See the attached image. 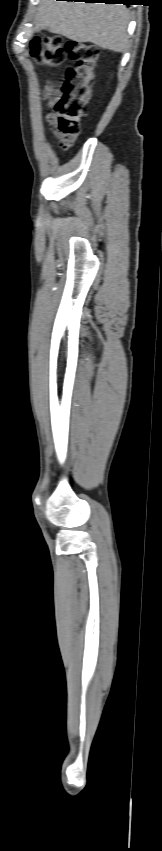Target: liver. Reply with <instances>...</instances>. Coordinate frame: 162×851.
Listing matches in <instances>:
<instances>
[{
	"label": "liver",
	"mask_w": 162,
	"mask_h": 851,
	"mask_svg": "<svg viewBox=\"0 0 162 851\" xmlns=\"http://www.w3.org/2000/svg\"><path fill=\"white\" fill-rule=\"evenodd\" d=\"M35 25L76 42H91L102 49L124 52L128 48L129 12L125 6L105 3L41 0Z\"/></svg>",
	"instance_id": "liver-1"
}]
</instances>
